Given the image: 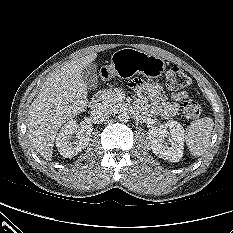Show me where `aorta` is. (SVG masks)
<instances>
[{
  "mask_svg": "<svg viewBox=\"0 0 233 233\" xmlns=\"http://www.w3.org/2000/svg\"><path fill=\"white\" fill-rule=\"evenodd\" d=\"M117 118H118V120H119L120 122L126 123V122H128L130 116H129V114H128L127 111L122 110V111H120V112L118 113Z\"/></svg>",
  "mask_w": 233,
  "mask_h": 233,
  "instance_id": "aorta-1",
  "label": "aorta"
}]
</instances>
